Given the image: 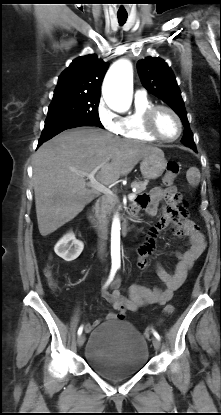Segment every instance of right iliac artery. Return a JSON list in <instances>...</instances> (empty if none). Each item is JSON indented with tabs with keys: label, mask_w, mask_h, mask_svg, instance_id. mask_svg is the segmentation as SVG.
I'll use <instances>...</instances> for the list:
<instances>
[{
	"label": "right iliac artery",
	"mask_w": 221,
	"mask_h": 415,
	"mask_svg": "<svg viewBox=\"0 0 221 415\" xmlns=\"http://www.w3.org/2000/svg\"><path fill=\"white\" fill-rule=\"evenodd\" d=\"M116 271H117V268L116 267H112L111 272H110L109 279L107 281V284H109L113 280ZM82 331H83V326H80L79 329H78V335H80L82 333Z\"/></svg>",
	"instance_id": "obj_1"
}]
</instances>
